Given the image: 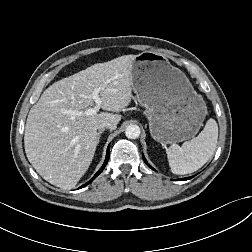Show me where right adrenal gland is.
Instances as JSON below:
<instances>
[{"mask_svg": "<svg viewBox=\"0 0 252 252\" xmlns=\"http://www.w3.org/2000/svg\"><path fill=\"white\" fill-rule=\"evenodd\" d=\"M104 128L103 129H101L99 132H98V138L100 139V136H101V134L104 132Z\"/></svg>", "mask_w": 252, "mask_h": 252, "instance_id": "1", "label": "right adrenal gland"}]
</instances>
